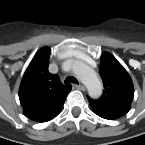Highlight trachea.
<instances>
[{"label": "trachea", "instance_id": "trachea-1", "mask_svg": "<svg viewBox=\"0 0 145 145\" xmlns=\"http://www.w3.org/2000/svg\"><path fill=\"white\" fill-rule=\"evenodd\" d=\"M65 83H75V84H78V81L76 78L72 77V76H69L65 79Z\"/></svg>", "mask_w": 145, "mask_h": 145}]
</instances>
